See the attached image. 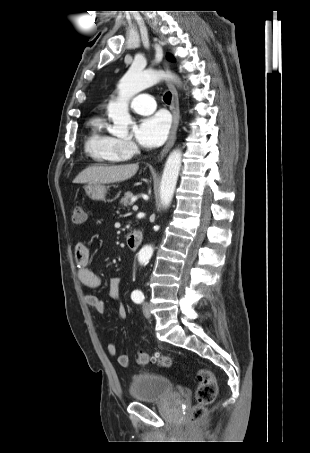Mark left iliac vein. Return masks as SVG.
I'll list each match as a JSON object with an SVG mask.
<instances>
[{
    "instance_id": "1",
    "label": "left iliac vein",
    "mask_w": 310,
    "mask_h": 453,
    "mask_svg": "<svg viewBox=\"0 0 310 453\" xmlns=\"http://www.w3.org/2000/svg\"><path fill=\"white\" fill-rule=\"evenodd\" d=\"M142 309H143V314L146 318H150L151 316V313H150V306H149V303L148 302H143V306H142Z\"/></svg>"
}]
</instances>
